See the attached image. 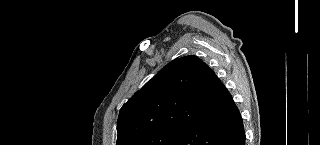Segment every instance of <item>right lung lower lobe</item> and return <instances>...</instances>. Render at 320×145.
<instances>
[{"label": "right lung lower lobe", "mask_w": 320, "mask_h": 145, "mask_svg": "<svg viewBox=\"0 0 320 145\" xmlns=\"http://www.w3.org/2000/svg\"><path fill=\"white\" fill-rule=\"evenodd\" d=\"M220 91L215 113L184 128L169 145H245L241 114L224 85Z\"/></svg>", "instance_id": "1"}]
</instances>
